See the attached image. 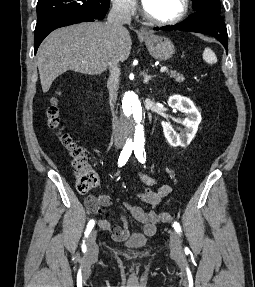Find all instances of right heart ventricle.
Masks as SVG:
<instances>
[{"label":"right heart ventricle","mask_w":255,"mask_h":287,"mask_svg":"<svg viewBox=\"0 0 255 287\" xmlns=\"http://www.w3.org/2000/svg\"><path fill=\"white\" fill-rule=\"evenodd\" d=\"M137 39H145V38H137ZM135 48H146V47H135ZM165 48H169V47H165Z\"/></svg>","instance_id":"right-heart-ventricle-1"}]
</instances>
